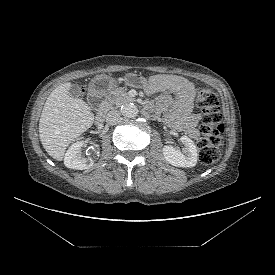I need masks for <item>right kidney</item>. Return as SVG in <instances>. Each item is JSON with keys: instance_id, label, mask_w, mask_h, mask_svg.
<instances>
[{"instance_id": "ca27d5eb", "label": "right kidney", "mask_w": 275, "mask_h": 275, "mask_svg": "<svg viewBox=\"0 0 275 275\" xmlns=\"http://www.w3.org/2000/svg\"><path fill=\"white\" fill-rule=\"evenodd\" d=\"M83 145V141H78L69 147L64 157V164L67 168L84 170L88 167V165L93 164V157L81 158L78 156ZM94 151L96 154L99 153L96 150Z\"/></svg>"}]
</instances>
